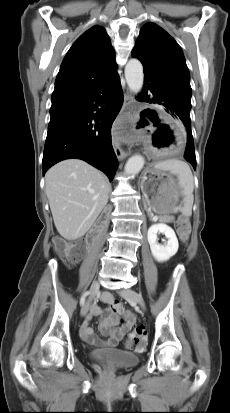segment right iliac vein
Segmentation results:
<instances>
[{
  "label": "right iliac vein",
  "mask_w": 230,
  "mask_h": 413,
  "mask_svg": "<svg viewBox=\"0 0 230 413\" xmlns=\"http://www.w3.org/2000/svg\"><path fill=\"white\" fill-rule=\"evenodd\" d=\"M99 287H100V284L98 281H94L91 284L89 297L87 301L85 302V304L83 305V307L81 308V316H85L87 314L90 303L93 300L94 296L96 295L97 291L99 290Z\"/></svg>",
  "instance_id": "1"
}]
</instances>
